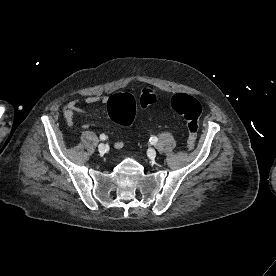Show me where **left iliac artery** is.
<instances>
[{
  "label": "left iliac artery",
  "instance_id": "obj_1",
  "mask_svg": "<svg viewBox=\"0 0 276 276\" xmlns=\"http://www.w3.org/2000/svg\"><path fill=\"white\" fill-rule=\"evenodd\" d=\"M157 141H158V138L155 137V136L150 138V142L153 143V144L156 143Z\"/></svg>",
  "mask_w": 276,
  "mask_h": 276
}]
</instances>
